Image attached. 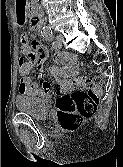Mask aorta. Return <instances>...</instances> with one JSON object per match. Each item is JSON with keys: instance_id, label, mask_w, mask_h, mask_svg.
Here are the masks:
<instances>
[{"instance_id": "aorta-1", "label": "aorta", "mask_w": 123, "mask_h": 167, "mask_svg": "<svg viewBox=\"0 0 123 167\" xmlns=\"http://www.w3.org/2000/svg\"><path fill=\"white\" fill-rule=\"evenodd\" d=\"M43 32L44 33H50V28L49 27H43Z\"/></svg>"}]
</instances>
